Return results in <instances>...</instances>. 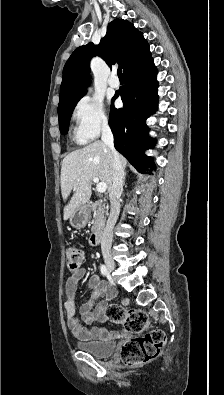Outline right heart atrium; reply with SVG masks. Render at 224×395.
<instances>
[{
    "label": "right heart atrium",
    "mask_w": 224,
    "mask_h": 395,
    "mask_svg": "<svg viewBox=\"0 0 224 395\" xmlns=\"http://www.w3.org/2000/svg\"><path fill=\"white\" fill-rule=\"evenodd\" d=\"M72 119L75 122L76 135L86 141L97 138L110 126L103 102L93 97H83L77 101Z\"/></svg>",
    "instance_id": "d8ad5b80"
}]
</instances>
